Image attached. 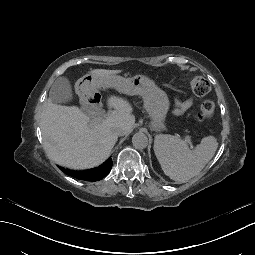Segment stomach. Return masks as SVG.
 I'll return each mask as SVG.
<instances>
[{"instance_id": "0dacf381", "label": "stomach", "mask_w": 255, "mask_h": 255, "mask_svg": "<svg viewBox=\"0 0 255 255\" xmlns=\"http://www.w3.org/2000/svg\"><path fill=\"white\" fill-rule=\"evenodd\" d=\"M146 75L137 74L124 83V92L130 95H141L144 108L149 115L148 126L154 132H162L166 125V111L163 105L169 101L165 90L159 88Z\"/></svg>"}]
</instances>
